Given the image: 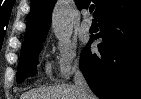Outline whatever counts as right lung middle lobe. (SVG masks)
Wrapping results in <instances>:
<instances>
[{"label":"right lung middle lobe","instance_id":"1","mask_svg":"<svg viewBox=\"0 0 141 99\" xmlns=\"http://www.w3.org/2000/svg\"><path fill=\"white\" fill-rule=\"evenodd\" d=\"M45 38L22 46L17 72L18 83L22 82L25 77L35 75L37 71V57Z\"/></svg>","mask_w":141,"mask_h":99}]
</instances>
